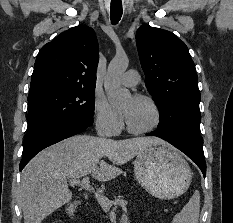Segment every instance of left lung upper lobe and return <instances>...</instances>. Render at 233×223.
<instances>
[{"label":"left lung upper lobe","mask_w":233,"mask_h":223,"mask_svg":"<svg viewBox=\"0 0 233 223\" xmlns=\"http://www.w3.org/2000/svg\"><path fill=\"white\" fill-rule=\"evenodd\" d=\"M145 85L160 112L158 131L198 135V77L188 48L173 33L142 25L136 33Z\"/></svg>","instance_id":"left-lung-upper-lobe-1"}]
</instances>
